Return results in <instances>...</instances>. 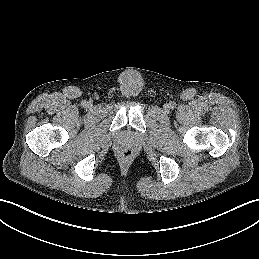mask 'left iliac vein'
<instances>
[{
    "instance_id": "left-iliac-vein-1",
    "label": "left iliac vein",
    "mask_w": 259,
    "mask_h": 259,
    "mask_svg": "<svg viewBox=\"0 0 259 259\" xmlns=\"http://www.w3.org/2000/svg\"><path fill=\"white\" fill-rule=\"evenodd\" d=\"M169 109H170V104H168V103L165 104V105H164V110H165V111H169Z\"/></svg>"
}]
</instances>
